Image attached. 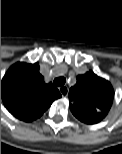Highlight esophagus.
I'll list each match as a JSON object with an SVG mask.
<instances>
[{
	"instance_id": "34e87169",
	"label": "esophagus",
	"mask_w": 122,
	"mask_h": 154,
	"mask_svg": "<svg viewBox=\"0 0 122 154\" xmlns=\"http://www.w3.org/2000/svg\"><path fill=\"white\" fill-rule=\"evenodd\" d=\"M59 91L63 97H67L69 89L67 86H62L59 88Z\"/></svg>"
}]
</instances>
